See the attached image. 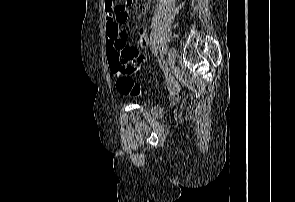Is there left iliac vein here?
<instances>
[{
  "label": "left iliac vein",
  "mask_w": 295,
  "mask_h": 202,
  "mask_svg": "<svg viewBox=\"0 0 295 202\" xmlns=\"http://www.w3.org/2000/svg\"><path fill=\"white\" fill-rule=\"evenodd\" d=\"M176 59V51L174 47H170L167 53V67L170 68L174 65Z\"/></svg>",
  "instance_id": "1"
}]
</instances>
